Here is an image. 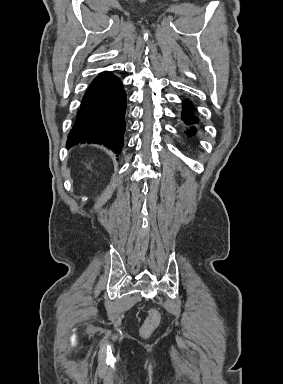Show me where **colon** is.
<instances>
[{
	"label": "colon",
	"mask_w": 283,
	"mask_h": 384,
	"mask_svg": "<svg viewBox=\"0 0 283 384\" xmlns=\"http://www.w3.org/2000/svg\"><path fill=\"white\" fill-rule=\"evenodd\" d=\"M160 323V314L155 309H150L148 316L143 322L140 333L143 337H149Z\"/></svg>",
	"instance_id": "obj_1"
}]
</instances>
